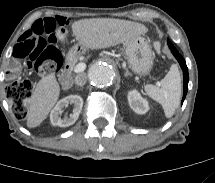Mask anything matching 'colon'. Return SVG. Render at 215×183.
I'll return each instance as SVG.
<instances>
[{
    "instance_id": "5ec220e1",
    "label": "colon",
    "mask_w": 215,
    "mask_h": 183,
    "mask_svg": "<svg viewBox=\"0 0 215 183\" xmlns=\"http://www.w3.org/2000/svg\"><path fill=\"white\" fill-rule=\"evenodd\" d=\"M67 23L61 17L46 18L36 21L20 40L15 57L17 61L26 63L40 74L53 73L61 65V54L55 44L66 36ZM157 53L161 52L159 43L155 44ZM6 94L10 100L13 112L18 119L27 115L26 102L33 91L32 83L23 79L21 65L12 63L6 69Z\"/></svg>"
}]
</instances>
